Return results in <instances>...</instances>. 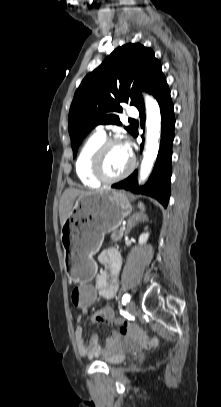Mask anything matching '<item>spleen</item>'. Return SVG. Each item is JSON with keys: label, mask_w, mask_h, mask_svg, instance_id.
Wrapping results in <instances>:
<instances>
[{"label": "spleen", "mask_w": 221, "mask_h": 407, "mask_svg": "<svg viewBox=\"0 0 221 407\" xmlns=\"http://www.w3.org/2000/svg\"><path fill=\"white\" fill-rule=\"evenodd\" d=\"M138 207L140 208L141 211H144V210H145V206H144V204L141 203V202L138 203Z\"/></svg>", "instance_id": "1"}]
</instances>
